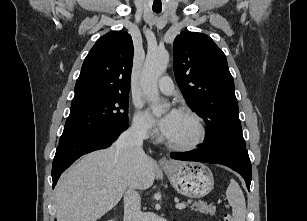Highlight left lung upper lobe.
Wrapping results in <instances>:
<instances>
[{
  "instance_id": "5c2ea615",
  "label": "left lung upper lobe",
  "mask_w": 307,
  "mask_h": 221,
  "mask_svg": "<svg viewBox=\"0 0 307 221\" xmlns=\"http://www.w3.org/2000/svg\"><path fill=\"white\" fill-rule=\"evenodd\" d=\"M173 57L175 79L187 104L208 127L204 144L219 141L246 150L225 54L209 36L182 32L175 38Z\"/></svg>"
}]
</instances>
